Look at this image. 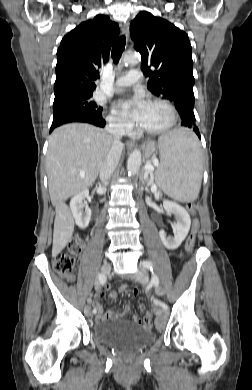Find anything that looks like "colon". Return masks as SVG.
I'll list each match as a JSON object with an SVG mask.
<instances>
[{
    "instance_id": "5ec220e1",
    "label": "colon",
    "mask_w": 252,
    "mask_h": 390,
    "mask_svg": "<svg viewBox=\"0 0 252 390\" xmlns=\"http://www.w3.org/2000/svg\"><path fill=\"white\" fill-rule=\"evenodd\" d=\"M188 210L191 214L194 215L196 213L195 204L193 203L188 204ZM198 230H199V221L197 219H194L191 232L186 242V249L188 252H191L193 250ZM82 247H83L82 239L78 236H73L67 244V251L60 253L55 257L54 260L55 271L61 276L70 280L72 278V274L75 268V263H76L75 257L82 251ZM121 289H125L126 292V285L122 286ZM132 293L134 295H137L138 290L133 289ZM143 320L145 325H150L152 320V314L149 311H147L145 313Z\"/></svg>"
}]
</instances>
